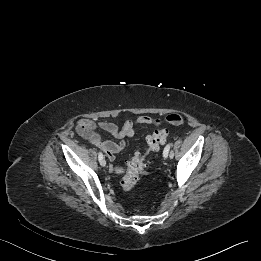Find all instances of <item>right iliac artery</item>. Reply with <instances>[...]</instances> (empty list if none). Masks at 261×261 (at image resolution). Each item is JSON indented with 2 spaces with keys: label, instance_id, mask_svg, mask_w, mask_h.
I'll list each match as a JSON object with an SVG mask.
<instances>
[{
  "label": "right iliac artery",
  "instance_id": "right-iliac-artery-1",
  "mask_svg": "<svg viewBox=\"0 0 261 261\" xmlns=\"http://www.w3.org/2000/svg\"><path fill=\"white\" fill-rule=\"evenodd\" d=\"M98 158H99V160L103 159V154L101 152H99Z\"/></svg>",
  "mask_w": 261,
  "mask_h": 261
}]
</instances>
